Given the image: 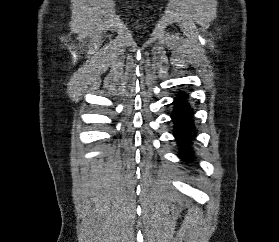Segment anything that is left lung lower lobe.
Wrapping results in <instances>:
<instances>
[{"mask_svg": "<svg viewBox=\"0 0 279 242\" xmlns=\"http://www.w3.org/2000/svg\"><path fill=\"white\" fill-rule=\"evenodd\" d=\"M174 109L171 115L174 123V136L180 147L179 157L190 160L193 158L190 143L195 136V127L192 120V109L187 103L184 92L174 99Z\"/></svg>", "mask_w": 279, "mask_h": 242, "instance_id": "0a47b994", "label": "left lung lower lobe"}]
</instances>
